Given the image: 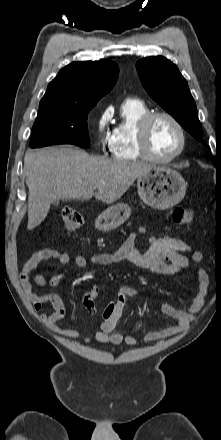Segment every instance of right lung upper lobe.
Masks as SVG:
<instances>
[{
	"label": "right lung upper lobe",
	"instance_id": "cb5924a9",
	"mask_svg": "<svg viewBox=\"0 0 221 440\" xmlns=\"http://www.w3.org/2000/svg\"><path fill=\"white\" fill-rule=\"evenodd\" d=\"M118 74V65L112 61L73 62L49 83L41 102L95 105L113 88Z\"/></svg>",
	"mask_w": 221,
	"mask_h": 440
}]
</instances>
